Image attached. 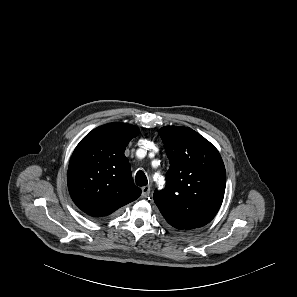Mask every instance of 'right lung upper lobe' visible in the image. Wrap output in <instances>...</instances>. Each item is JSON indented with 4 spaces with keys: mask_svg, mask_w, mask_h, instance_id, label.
Segmentation results:
<instances>
[{
    "mask_svg": "<svg viewBox=\"0 0 297 297\" xmlns=\"http://www.w3.org/2000/svg\"><path fill=\"white\" fill-rule=\"evenodd\" d=\"M138 132V127L130 124H106L87 134L75 148L69 162L68 189L86 214L108 216L141 195L124 155Z\"/></svg>",
    "mask_w": 297,
    "mask_h": 297,
    "instance_id": "obj_1",
    "label": "right lung upper lobe"
}]
</instances>
